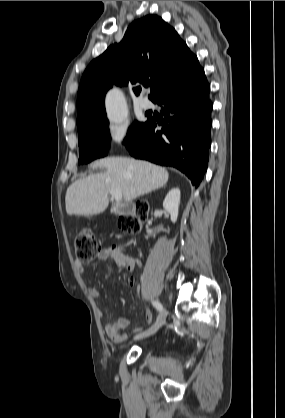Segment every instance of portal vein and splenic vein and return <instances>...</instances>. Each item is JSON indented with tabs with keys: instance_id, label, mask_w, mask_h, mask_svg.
I'll return each mask as SVG.
<instances>
[{
	"instance_id": "obj_1",
	"label": "portal vein and splenic vein",
	"mask_w": 285,
	"mask_h": 418,
	"mask_svg": "<svg viewBox=\"0 0 285 418\" xmlns=\"http://www.w3.org/2000/svg\"><path fill=\"white\" fill-rule=\"evenodd\" d=\"M112 197L115 199L116 202L122 201V193L119 190H113L110 192Z\"/></svg>"
}]
</instances>
